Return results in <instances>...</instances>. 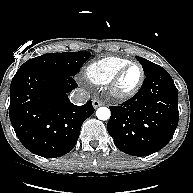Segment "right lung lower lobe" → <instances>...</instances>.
Listing matches in <instances>:
<instances>
[{
	"label": "right lung lower lobe",
	"instance_id": "obj_1",
	"mask_svg": "<svg viewBox=\"0 0 193 193\" xmlns=\"http://www.w3.org/2000/svg\"><path fill=\"white\" fill-rule=\"evenodd\" d=\"M72 76L49 71L16 73L11 82L9 116L21 143L32 153L54 158L76 144L83 122L94 112L91 101L72 104Z\"/></svg>",
	"mask_w": 193,
	"mask_h": 193
}]
</instances>
